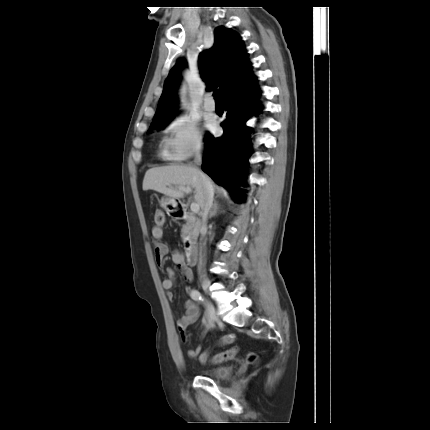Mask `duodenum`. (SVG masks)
<instances>
[{"instance_id":"obj_1","label":"duodenum","mask_w":430,"mask_h":430,"mask_svg":"<svg viewBox=\"0 0 430 430\" xmlns=\"http://www.w3.org/2000/svg\"><path fill=\"white\" fill-rule=\"evenodd\" d=\"M184 213H185V210L182 206L179 205L176 207L175 216H177V218H181L184 215ZM197 256H198L197 245L192 241L187 242L185 247V257L188 265L194 266L197 262Z\"/></svg>"}]
</instances>
